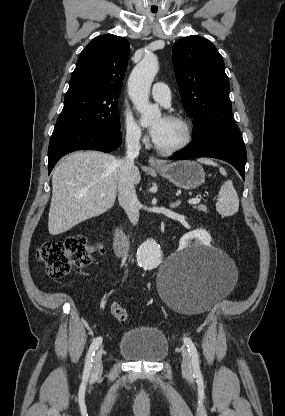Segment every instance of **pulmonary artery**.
Segmentation results:
<instances>
[{
	"label": "pulmonary artery",
	"instance_id": "pulmonary-artery-1",
	"mask_svg": "<svg viewBox=\"0 0 285 416\" xmlns=\"http://www.w3.org/2000/svg\"><path fill=\"white\" fill-rule=\"evenodd\" d=\"M163 82H157L153 85L152 94L160 102H170L172 99L170 87Z\"/></svg>",
	"mask_w": 285,
	"mask_h": 416
}]
</instances>
